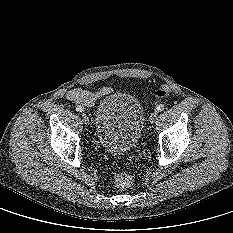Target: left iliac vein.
Wrapping results in <instances>:
<instances>
[{"label": "left iliac vein", "mask_w": 233, "mask_h": 233, "mask_svg": "<svg viewBox=\"0 0 233 233\" xmlns=\"http://www.w3.org/2000/svg\"><path fill=\"white\" fill-rule=\"evenodd\" d=\"M157 112L155 111V112H153L151 115H150V117H149V122L150 123H154L155 122V120H156V118H157Z\"/></svg>", "instance_id": "1"}]
</instances>
